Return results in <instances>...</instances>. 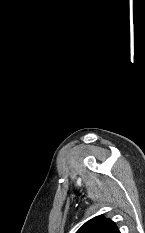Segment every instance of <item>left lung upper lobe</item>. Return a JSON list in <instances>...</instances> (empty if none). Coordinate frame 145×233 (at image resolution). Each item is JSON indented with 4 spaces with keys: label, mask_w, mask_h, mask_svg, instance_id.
<instances>
[{
    "label": "left lung upper lobe",
    "mask_w": 145,
    "mask_h": 233,
    "mask_svg": "<svg viewBox=\"0 0 145 233\" xmlns=\"http://www.w3.org/2000/svg\"><path fill=\"white\" fill-rule=\"evenodd\" d=\"M77 233H120L116 224L103 215L87 221Z\"/></svg>",
    "instance_id": "5c2ea615"
}]
</instances>
